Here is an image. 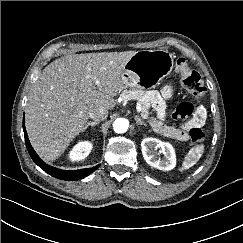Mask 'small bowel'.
Segmentation results:
<instances>
[{
	"label": "small bowel",
	"mask_w": 243,
	"mask_h": 243,
	"mask_svg": "<svg viewBox=\"0 0 243 243\" xmlns=\"http://www.w3.org/2000/svg\"><path fill=\"white\" fill-rule=\"evenodd\" d=\"M172 94L173 89L170 85L165 86L160 93L151 92L148 94V101L158 112V119L153 122V125L156 131L164 136L186 141L189 138L187 132L190 128L200 127L204 124L206 119V109L203 106H199L190 121L181 125L179 129L171 127L165 122L166 113L164 101L171 98Z\"/></svg>",
	"instance_id": "obj_1"
}]
</instances>
